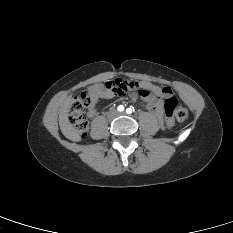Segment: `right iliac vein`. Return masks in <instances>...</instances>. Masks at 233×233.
I'll list each match as a JSON object with an SVG mask.
<instances>
[{
  "label": "right iliac vein",
  "instance_id": "1",
  "mask_svg": "<svg viewBox=\"0 0 233 233\" xmlns=\"http://www.w3.org/2000/svg\"><path fill=\"white\" fill-rule=\"evenodd\" d=\"M115 114H116V113L113 111V112H111V113L109 114V117H111V118H112V117H114V116H115Z\"/></svg>",
  "mask_w": 233,
  "mask_h": 233
}]
</instances>
